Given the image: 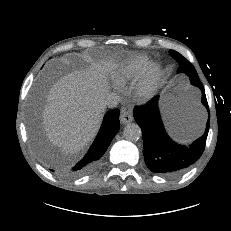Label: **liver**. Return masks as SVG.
<instances>
[{"label":"liver","mask_w":231,"mask_h":231,"mask_svg":"<svg viewBox=\"0 0 231 231\" xmlns=\"http://www.w3.org/2000/svg\"><path fill=\"white\" fill-rule=\"evenodd\" d=\"M116 66L112 61L92 63L88 69L71 72L51 86L42 111L43 125L47 138L64 154L83 150L95 138L106 109L107 75ZM33 144L42 155L40 139L39 147Z\"/></svg>","instance_id":"obj_1"}]
</instances>
